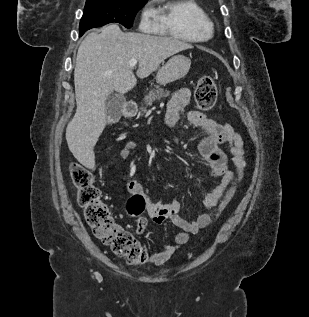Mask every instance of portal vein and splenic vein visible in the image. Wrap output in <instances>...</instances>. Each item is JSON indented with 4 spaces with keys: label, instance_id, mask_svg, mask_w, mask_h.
Masks as SVG:
<instances>
[{
    "label": "portal vein and splenic vein",
    "instance_id": "18ae733b",
    "mask_svg": "<svg viewBox=\"0 0 309 317\" xmlns=\"http://www.w3.org/2000/svg\"><path fill=\"white\" fill-rule=\"evenodd\" d=\"M137 62L138 61L136 59H132V60H130L129 64L131 67H135L137 65Z\"/></svg>",
    "mask_w": 309,
    "mask_h": 317
}]
</instances>
